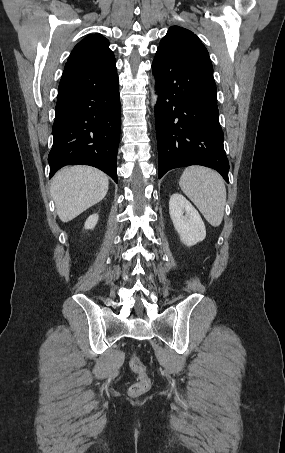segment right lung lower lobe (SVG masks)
Instances as JSON below:
<instances>
[{"mask_svg": "<svg viewBox=\"0 0 285 453\" xmlns=\"http://www.w3.org/2000/svg\"><path fill=\"white\" fill-rule=\"evenodd\" d=\"M120 95L116 67L65 69L58 88L50 178L65 165L99 168L117 182Z\"/></svg>", "mask_w": 285, "mask_h": 453, "instance_id": "98d812e1", "label": "right lung lower lobe"}]
</instances>
